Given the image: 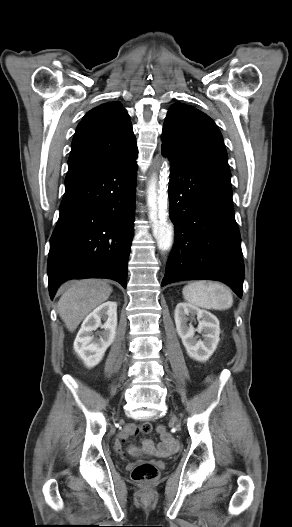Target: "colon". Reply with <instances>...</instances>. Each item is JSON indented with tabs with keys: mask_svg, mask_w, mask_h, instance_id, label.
I'll return each mask as SVG.
<instances>
[{
	"mask_svg": "<svg viewBox=\"0 0 292 527\" xmlns=\"http://www.w3.org/2000/svg\"><path fill=\"white\" fill-rule=\"evenodd\" d=\"M143 433L150 430V424L144 423L141 425ZM158 477V469L150 462H141L135 466L132 472V478L140 483L149 484L155 481Z\"/></svg>",
	"mask_w": 292,
	"mask_h": 527,
	"instance_id": "colon-1",
	"label": "colon"
}]
</instances>
